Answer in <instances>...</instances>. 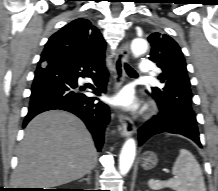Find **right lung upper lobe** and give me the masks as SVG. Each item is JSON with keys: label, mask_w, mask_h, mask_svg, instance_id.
<instances>
[{"label": "right lung upper lobe", "mask_w": 218, "mask_h": 191, "mask_svg": "<svg viewBox=\"0 0 218 191\" xmlns=\"http://www.w3.org/2000/svg\"><path fill=\"white\" fill-rule=\"evenodd\" d=\"M106 43L87 19H76L53 34L44 51L56 50L79 58L104 56Z\"/></svg>", "instance_id": "1"}]
</instances>
